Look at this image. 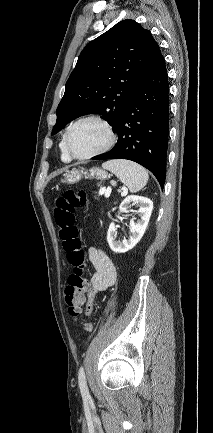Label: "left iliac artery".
<instances>
[{"mask_svg":"<svg viewBox=\"0 0 213 433\" xmlns=\"http://www.w3.org/2000/svg\"><path fill=\"white\" fill-rule=\"evenodd\" d=\"M78 384H79L80 392H81L83 399H85V400L90 399V395H89V391H88V387H87V383H86L85 372H84L83 367H80L79 372H78Z\"/></svg>","mask_w":213,"mask_h":433,"instance_id":"44dca946","label":"left iliac artery"}]
</instances>
